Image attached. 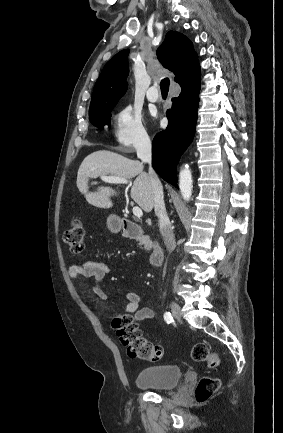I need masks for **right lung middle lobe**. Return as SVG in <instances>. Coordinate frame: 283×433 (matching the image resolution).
<instances>
[{
  "instance_id": "obj_1",
  "label": "right lung middle lobe",
  "mask_w": 283,
  "mask_h": 433,
  "mask_svg": "<svg viewBox=\"0 0 283 433\" xmlns=\"http://www.w3.org/2000/svg\"><path fill=\"white\" fill-rule=\"evenodd\" d=\"M115 106H107L95 111H92L89 113V120L91 121V123L99 128H102L105 125H110V110L111 108Z\"/></svg>"
}]
</instances>
